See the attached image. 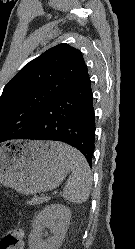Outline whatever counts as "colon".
<instances>
[{"label":"colon","mask_w":135,"mask_h":249,"mask_svg":"<svg viewBox=\"0 0 135 249\" xmlns=\"http://www.w3.org/2000/svg\"><path fill=\"white\" fill-rule=\"evenodd\" d=\"M23 234L20 230H11L0 241V249H23Z\"/></svg>","instance_id":"colon-1"}]
</instances>
